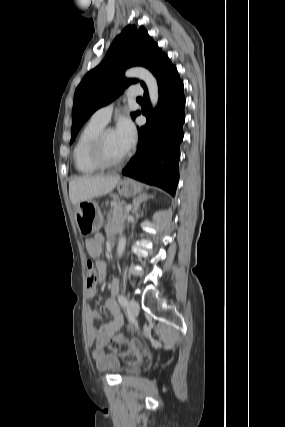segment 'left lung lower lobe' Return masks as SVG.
<instances>
[{
	"label": "left lung lower lobe",
	"instance_id": "obj_1",
	"mask_svg": "<svg viewBox=\"0 0 285 427\" xmlns=\"http://www.w3.org/2000/svg\"><path fill=\"white\" fill-rule=\"evenodd\" d=\"M154 75L159 86V102L153 113L144 86L142 114L147 123L139 128L138 152L122 174L156 185L174 196L179 181V145L185 120L183 82L167 55L157 65ZM140 113L138 111L136 116Z\"/></svg>",
	"mask_w": 285,
	"mask_h": 427
}]
</instances>
